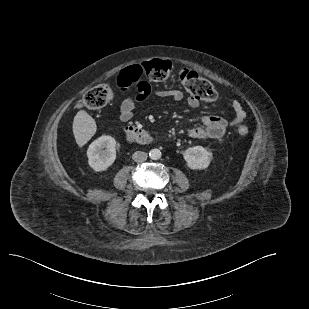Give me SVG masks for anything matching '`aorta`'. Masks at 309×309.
Listing matches in <instances>:
<instances>
[{"mask_svg":"<svg viewBox=\"0 0 309 309\" xmlns=\"http://www.w3.org/2000/svg\"><path fill=\"white\" fill-rule=\"evenodd\" d=\"M161 151L157 148H154V149H151L150 152H149V157L152 159V160H158L161 158Z\"/></svg>","mask_w":309,"mask_h":309,"instance_id":"aorta-1","label":"aorta"}]
</instances>
